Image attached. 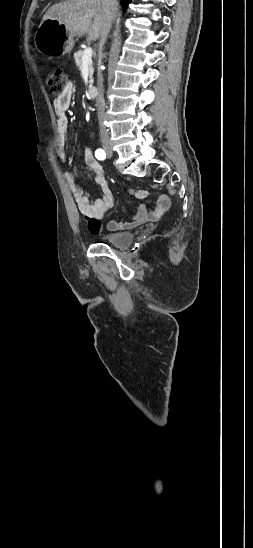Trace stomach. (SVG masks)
I'll return each instance as SVG.
<instances>
[{
    "label": "stomach",
    "instance_id": "0dacf381",
    "mask_svg": "<svg viewBox=\"0 0 253 548\" xmlns=\"http://www.w3.org/2000/svg\"><path fill=\"white\" fill-rule=\"evenodd\" d=\"M35 46L45 55L62 56L71 52L74 39L59 21L48 19L40 24L35 34Z\"/></svg>",
    "mask_w": 253,
    "mask_h": 548
}]
</instances>
